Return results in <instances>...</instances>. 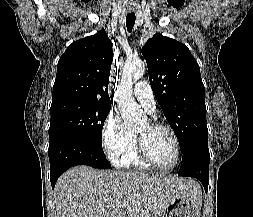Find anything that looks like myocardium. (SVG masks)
<instances>
[{
  "instance_id": "myocardium-1",
  "label": "myocardium",
  "mask_w": 253,
  "mask_h": 217,
  "mask_svg": "<svg viewBox=\"0 0 253 217\" xmlns=\"http://www.w3.org/2000/svg\"><path fill=\"white\" fill-rule=\"evenodd\" d=\"M149 124L152 128L164 129L169 132V134L172 137V140L174 142V147H175L174 160H173V163L168 167H160L157 164H155L145 149V144L142 137L136 134V148H137L139 158L145 165H147L149 168H152L155 171L162 172V173L171 172L177 167L180 160L181 148H180L179 138L176 132L174 131V129L169 124H166L163 122H149Z\"/></svg>"
}]
</instances>
